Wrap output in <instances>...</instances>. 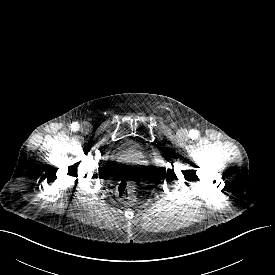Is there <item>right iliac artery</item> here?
<instances>
[{
    "mask_svg": "<svg viewBox=\"0 0 275 275\" xmlns=\"http://www.w3.org/2000/svg\"><path fill=\"white\" fill-rule=\"evenodd\" d=\"M79 128V124L77 122H74L73 124H71V130L72 131H77Z\"/></svg>",
    "mask_w": 275,
    "mask_h": 275,
    "instance_id": "82829eb1",
    "label": "right iliac artery"
}]
</instances>
